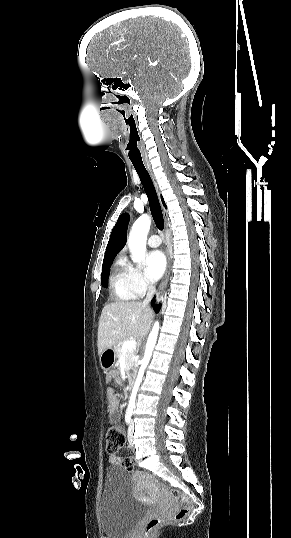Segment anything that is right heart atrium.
<instances>
[{
	"mask_svg": "<svg viewBox=\"0 0 291 538\" xmlns=\"http://www.w3.org/2000/svg\"><path fill=\"white\" fill-rule=\"evenodd\" d=\"M128 268L133 288L138 296L145 294L152 288L151 282L146 278L140 268L133 265H129Z\"/></svg>",
	"mask_w": 291,
	"mask_h": 538,
	"instance_id": "d8ad5b80",
	"label": "right heart atrium"
}]
</instances>
